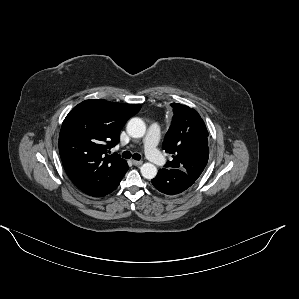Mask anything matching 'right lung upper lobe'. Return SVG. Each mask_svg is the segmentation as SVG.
Returning <instances> with one entry per match:
<instances>
[{"mask_svg":"<svg viewBox=\"0 0 299 299\" xmlns=\"http://www.w3.org/2000/svg\"><path fill=\"white\" fill-rule=\"evenodd\" d=\"M141 108L139 104L86 100L75 106L63 121L59 152L71 181L84 193L106 195L126 166L117 154L107 155L119 142L126 121Z\"/></svg>","mask_w":299,"mask_h":299,"instance_id":"cb5924a9","label":"right lung upper lobe"}]
</instances>
